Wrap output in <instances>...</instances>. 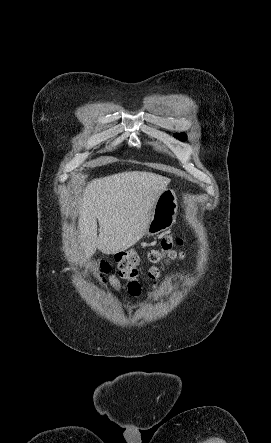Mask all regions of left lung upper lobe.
Wrapping results in <instances>:
<instances>
[{
    "instance_id": "left-lung-upper-lobe-1",
    "label": "left lung upper lobe",
    "mask_w": 271,
    "mask_h": 443,
    "mask_svg": "<svg viewBox=\"0 0 271 443\" xmlns=\"http://www.w3.org/2000/svg\"><path fill=\"white\" fill-rule=\"evenodd\" d=\"M174 137L178 138L181 141H185L186 140V134L185 133H176L174 135Z\"/></svg>"
}]
</instances>
